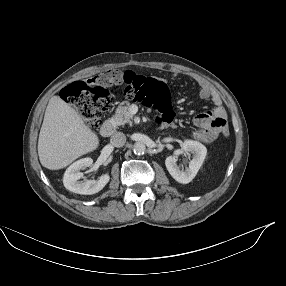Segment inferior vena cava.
<instances>
[{
  "label": "inferior vena cava",
  "instance_id": "inferior-vena-cava-1",
  "mask_svg": "<svg viewBox=\"0 0 286 286\" xmlns=\"http://www.w3.org/2000/svg\"><path fill=\"white\" fill-rule=\"evenodd\" d=\"M111 143L115 147H122L126 143V136L122 132H116L111 136Z\"/></svg>",
  "mask_w": 286,
  "mask_h": 286
}]
</instances>
